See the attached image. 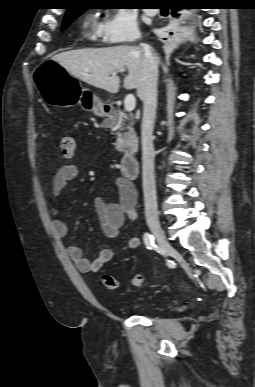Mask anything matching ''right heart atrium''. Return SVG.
I'll list each match as a JSON object with an SVG mask.
<instances>
[{"mask_svg": "<svg viewBox=\"0 0 255 387\" xmlns=\"http://www.w3.org/2000/svg\"><path fill=\"white\" fill-rule=\"evenodd\" d=\"M99 35L108 45L132 43L141 36L136 17L130 10L124 8L114 10L101 24Z\"/></svg>", "mask_w": 255, "mask_h": 387, "instance_id": "obj_1", "label": "right heart atrium"}]
</instances>
